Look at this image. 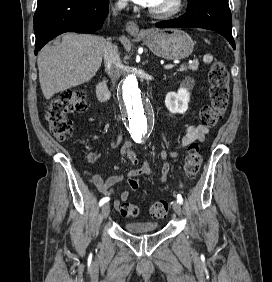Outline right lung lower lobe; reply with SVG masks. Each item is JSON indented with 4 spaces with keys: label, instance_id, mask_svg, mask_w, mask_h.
Returning <instances> with one entry per match:
<instances>
[{
    "label": "right lung lower lobe",
    "instance_id": "right-lung-lower-lobe-1",
    "mask_svg": "<svg viewBox=\"0 0 272 282\" xmlns=\"http://www.w3.org/2000/svg\"><path fill=\"white\" fill-rule=\"evenodd\" d=\"M108 9L109 0H38L34 15L35 54L59 34L97 31Z\"/></svg>",
    "mask_w": 272,
    "mask_h": 282
}]
</instances>
